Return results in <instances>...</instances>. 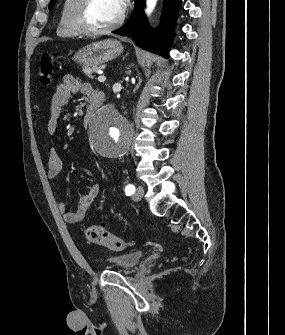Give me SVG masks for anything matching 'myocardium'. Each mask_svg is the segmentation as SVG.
<instances>
[{
  "label": "myocardium",
  "instance_id": "1",
  "mask_svg": "<svg viewBox=\"0 0 285 335\" xmlns=\"http://www.w3.org/2000/svg\"><path fill=\"white\" fill-rule=\"evenodd\" d=\"M128 1H121L120 12L117 19L110 25L103 28H96L91 25L88 19V13L92 1H78V5L75 12V24L81 34L87 36H98L107 34L116 28L122 23L124 19V8Z\"/></svg>",
  "mask_w": 285,
  "mask_h": 335
}]
</instances>
